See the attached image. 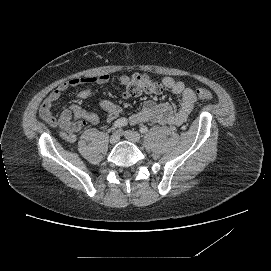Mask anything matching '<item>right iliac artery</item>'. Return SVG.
I'll list each match as a JSON object with an SVG mask.
<instances>
[{"mask_svg": "<svg viewBox=\"0 0 271 271\" xmlns=\"http://www.w3.org/2000/svg\"><path fill=\"white\" fill-rule=\"evenodd\" d=\"M127 124H128V120L126 118H120L114 122L112 129L116 130V129L126 126Z\"/></svg>", "mask_w": 271, "mask_h": 271, "instance_id": "82829eb1", "label": "right iliac artery"}]
</instances>
